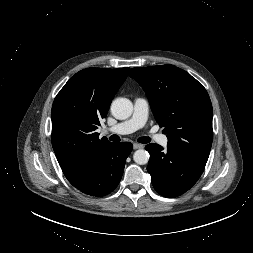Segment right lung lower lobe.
I'll list each match as a JSON object with an SVG mask.
<instances>
[{"label": "right lung lower lobe", "instance_id": "right-lung-lower-lobe-1", "mask_svg": "<svg viewBox=\"0 0 253 253\" xmlns=\"http://www.w3.org/2000/svg\"><path fill=\"white\" fill-rule=\"evenodd\" d=\"M133 145L129 142L104 145L93 157L79 177L70 183L84 194L102 197L119 184L126 159Z\"/></svg>", "mask_w": 253, "mask_h": 253}]
</instances>
